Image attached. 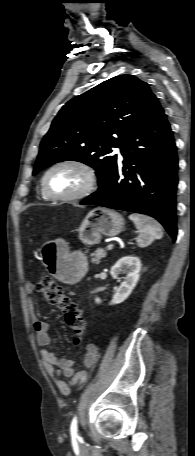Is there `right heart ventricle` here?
<instances>
[{
    "label": "right heart ventricle",
    "instance_id": "right-heart-ventricle-1",
    "mask_svg": "<svg viewBox=\"0 0 195 456\" xmlns=\"http://www.w3.org/2000/svg\"><path fill=\"white\" fill-rule=\"evenodd\" d=\"M41 195H42V198L48 199V198L43 194L42 190H41Z\"/></svg>",
    "mask_w": 195,
    "mask_h": 456
}]
</instances>
